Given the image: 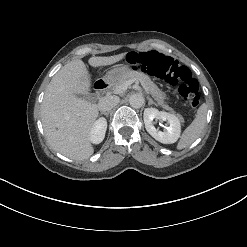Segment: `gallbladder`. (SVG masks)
I'll use <instances>...</instances> for the list:
<instances>
[{
  "label": "gallbladder",
  "instance_id": "bac80fb5",
  "mask_svg": "<svg viewBox=\"0 0 247 247\" xmlns=\"http://www.w3.org/2000/svg\"><path fill=\"white\" fill-rule=\"evenodd\" d=\"M79 98H82L84 100H87V101H93L95 96L91 93H88V94H83V95H77Z\"/></svg>",
  "mask_w": 247,
  "mask_h": 247
}]
</instances>
